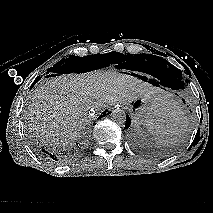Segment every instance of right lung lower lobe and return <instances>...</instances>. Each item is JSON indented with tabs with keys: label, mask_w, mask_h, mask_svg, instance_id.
Here are the masks:
<instances>
[{
	"label": "right lung lower lobe",
	"mask_w": 213,
	"mask_h": 213,
	"mask_svg": "<svg viewBox=\"0 0 213 213\" xmlns=\"http://www.w3.org/2000/svg\"><path fill=\"white\" fill-rule=\"evenodd\" d=\"M52 76H56V75H52ZM38 80H40V77L36 78L35 83L33 85H35L36 82H38ZM108 114H110V112L105 110L99 118H101L103 116H106ZM79 149H81V148H79V147L78 148H73V150L67 151V152H63V151H59V150L48 151L46 149H42V152L44 153L45 156H48L50 159H53L55 161H63L65 159H69L72 155L77 153V151Z\"/></svg>",
	"instance_id": "1"
}]
</instances>
